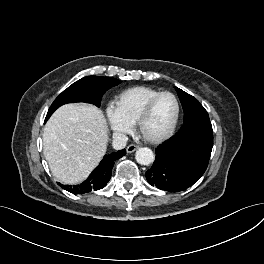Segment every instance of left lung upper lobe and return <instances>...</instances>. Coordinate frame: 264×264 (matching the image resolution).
<instances>
[{
	"mask_svg": "<svg viewBox=\"0 0 264 264\" xmlns=\"http://www.w3.org/2000/svg\"><path fill=\"white\" fill-rule=\"evenodd\" d=\"M176 90L184 110V123L181 131L199 123L210 122L207 111L197 99L177 87Z\"/></svg>",
	"mask_w": 264,
	"mask_h": 264,
	"instance_id": "left-lung-upper-lobe-1",
	"label": "left lung upper lobe"
}]
</instances>
